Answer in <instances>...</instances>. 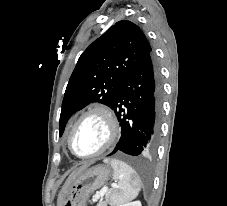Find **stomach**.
Listing matches in <instances>:
<instances>
[{
	"mask_svg": "<svg viewBox=\"0 0 227 206\" xmlns=\"http://www.w3.org/2000/svg\"><path fill=\"white\" fill-rule=\"evenodd\" d=\"M111 175V169L105 165H97L81 173L69 188V202L61 197V206H86L89 196L101 188ZM68 195V194H67Z\"/></svg>",
	"mask_w": 227,
	"mask_h": 206,
	"instance_id": "1",
	"label": "stomach"
}]
</instances>
